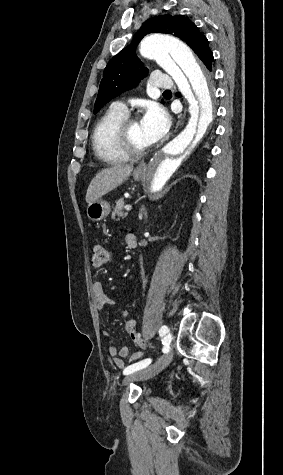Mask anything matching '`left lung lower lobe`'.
<instances>
[{"instance_id":"left-lung-lower-lobe-1","label":"left lung lower lobe","mask_w":283,"mask_h":475,"mask_svg":"<svg viewBox=\"0 0 283 475\" xmlns=\"http://www.w3.org/2000/svg\"><path fill=\"white\" fill-rule=\"evenodd\" d=\"M213 56L211 50L207 52V58L203 61L206 67L211 71L212 70Z\"/></svg>"}]
</instances>
